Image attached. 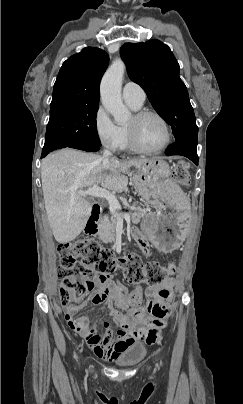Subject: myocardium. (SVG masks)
<instances>
[{"instance_id":"1","label":"myocardium","mask_w":243,"mask_h":404,"mask_svg":"<svg viewBox=\"0 0 243 404\" xmlns=\"http://www.w3.org/2000/svg\"><path fill=\"white\" fill-rule=\"evenodd\" d=\"M147 115H155L157 116L159 119L162 120V122L164 123L166 130H167V140L166 142L158 147V148H147L146 146H144L136 137L134 130L129 127V126H125L128 138L131 142V144L140 152L143 153H160L162 151H164L165 149H167L169 147V145L172 142V138H173V131H172V127L170 122L168 121V119L159 111L155 110V109H151V108H143V109H139L137 110L134 114H133V118L135 120H139Z\"/></svg>"}]
</instances>
